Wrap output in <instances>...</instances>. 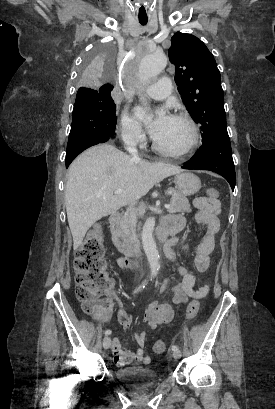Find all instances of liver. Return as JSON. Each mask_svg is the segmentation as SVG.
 Returning a JSON list of instances; mask_svg holds the SVG:
<instances>
[{"mask_svg": "<svg viewBox=\"0 0 275 409\" xmlns=\"http://www.w3.org/2000/svg\"><path fill=\"white\" fill-rule=\"evenodd\" d=\"M181 172L179 166L132 158L113 144L81 152L69 166L65 188L67 219L76 251L90 227L144 196L153 184ZM123 192L115 194V190Z\"/></svg>", "mask_w": 275, "mask_h": 409, "instance_id": "1", "label": "liver"}]
</instances>
